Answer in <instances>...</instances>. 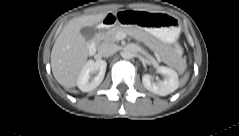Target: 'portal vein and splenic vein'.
<instances>
[{
  "instance_id": "portal-vein-and-splenic-vein-1",
  "label": "portal vein and splenic vein",
  "mask_w": 239,
  "mask_h": 136,
  "mask_svg": "<svg viewBox=\"0 0 239 136\" xmlns=\"http://www.w3.org/2000/svg\"><path fill=\"white\" fill-rule=\"evenodd\" d=\"M126 35L123 33L118 34L117 38L118 39H123Z\"/></svg>"
}]
</instances>
